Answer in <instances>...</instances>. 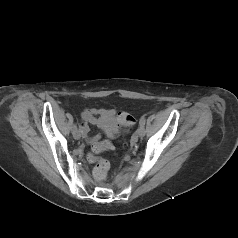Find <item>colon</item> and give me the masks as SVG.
I'll list each match as a JSON object with an SVG mask.
<instances>
[{
	"mask_svg": "<svg viewBox=\"0 0 238 238\" xmlns=\"http://www.w3.org/2000/svg\"><path fill=\"white\" fill-rule=\"evenodd\" d=\"M134 118L125 113L122 112L117 115L115 122L118 124V128L121 131L126 130L127 127L131 126L134 123ZM110 147V145L107 147L106 145H100L95 152H100L103 150H106ZM90 161L95 163V167L93 169V175L96 180H103L106 178L108 171H109V163L105 159L99 158L95 155H89Z\"/></svg>",
	"mask_w": 238,
	"mask_h": 238,
	"instance_id": "colon-1",
	"label": "colon"
}]
</instances>
